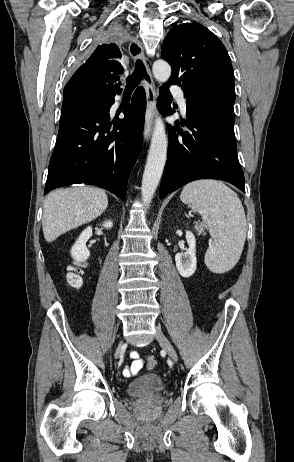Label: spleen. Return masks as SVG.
Returning a JSON list of instances; mask_svg holds the SVG:
<instances>
[{
  "mask_svg": "<svg viewBox=\"0 0 294 462\" xmlns=\"http://www.w3.org/2000/svg\"><path fill=\"white\" fill-rule=\"evenodd\" d=\"M183 203L202 212L213 243L205 263L214 273L231 270L238 262L246 239V217L237 194L216 180H199L187 184L180 195Z\"/></svg>",
  "mask_w": 294,
  "mask_h": 462,
  "instance_id": "1",
  "label": "spleen"
}]
</instances>
